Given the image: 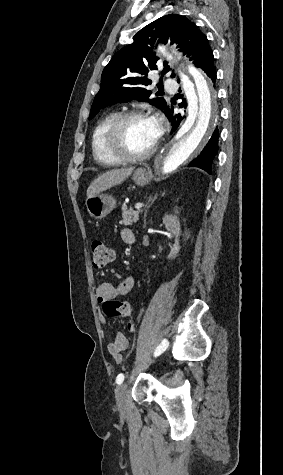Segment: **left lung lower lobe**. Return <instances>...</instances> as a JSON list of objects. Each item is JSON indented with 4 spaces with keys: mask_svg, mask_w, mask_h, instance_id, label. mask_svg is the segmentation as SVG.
Listing matches in <instances>:
<instances>
[{
    "mask_svg": "<svg viewBox=\"0 0 283 475\" xmlns=\"http://www.w3.org/2000/svg\"><path fill=\"white\" fill-rule=\"evenodd\" d=\"M204 72L207 74L208 77L211 78L212 82H215L216 79V69L214 66V56L213 53L211 56L199 66ZM180 82V80H177ZM215 87V85H214ZM180 107H185V106H180ZM165 114L168 116L169 120L171 121L172 125V131H175L183 117L180 116V114L174 115L173 114V109H170L169 106L166 107L164 110ZM218 137H219V131L218 129H215L212 137L210 138L209 142L207 145L204 147L200 155L197 156L190 164L188 165L189 167H199L207 171L208 173H211V164L214 156L217 154L218 151Z\"/></svg>",
    "mask_w": 283,
    "mask_h": 475,
    "instance_id": "left-lung-lower-lobe-1",
    "label": "left lung lower lobe"
}]
</instances>
